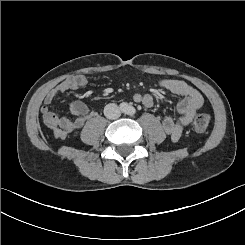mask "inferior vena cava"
Listing matches in <instances>:
<instances>
[{
	"mask_svg": "<svg viewBox=\"0 0 245 245\" xmlns=\"http://www.w3.org/2000/svg\"><path fill=\"white\" fill-rule=\"evenodd\" d=\"M104 115L106 118L114 120L119 117L120 110L116 104L109 103L104 107Z\"/></svg>",
	"mask_w": 245,
	"mask_h": 245,
	"instance_id": "inferior-vena-cava-1",
	"label": "inferior vena cava"
}]
</instances>
